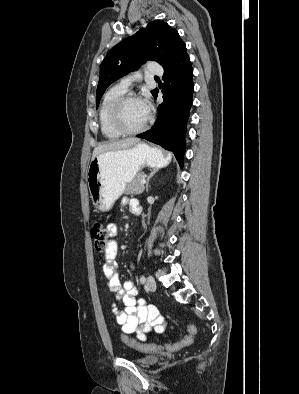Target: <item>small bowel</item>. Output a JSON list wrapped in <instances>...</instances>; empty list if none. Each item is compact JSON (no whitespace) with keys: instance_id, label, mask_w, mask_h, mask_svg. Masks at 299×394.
Instances as JSON below:
<instances>
[{"instance_id":"1","label":"small bowel","mask_w":299,"mask_h":394,"mask_svg":"<svg viewBox=\"0 0 299 394\" xmlns=\"http://www.w3.org/2000/svg\"><path fill=\"white\" fill-rule=\"evenodd\" d=\"M121 202L123 205L129 206L133 214H140L141 207L135 199L123 197ZM107 229L111 237L116 235L117 227L115 224H108ZM116 256L117 244L114 240H111L102 261L106 284L115 293V301L112 302L111 306L116 323L125 334H135L139 340H146L147 334L151 331L164 334L165 321L157 306L147 303L144 298L138 296V288L132 280L120 281L117 273ZM119 302L123 305L122 310L117 307Z\"/></svg>"}]
</instances>
